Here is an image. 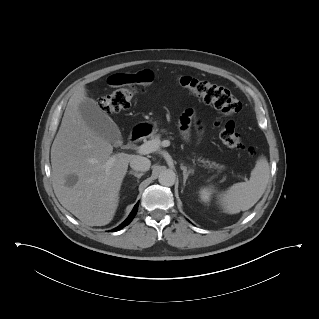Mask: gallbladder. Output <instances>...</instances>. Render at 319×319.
<instances>
[{"instance_id": "bac80fb5", "label": "gallbladder", "mask_w": 319, "mask_h": 319, "mask_svg": "<svg viewBox=\"0 0 319 319\" xmlns=\"http://www.w3.org/2000/svg\"><path fill=\"white\" fill-rule=\"evenodd\" d=\"M79 111L86 125L97 135L114 145L121 144L122 136L118 126L93 99L87 98L81 102Z\"/></svg>"}]
</instances>
